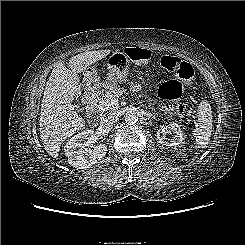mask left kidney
Wrapping results in <instances>:
<instances>
[{
	"mask_svg": "<svg viewBox=\"0 0 245 245\" xmlns=\"http://www.w3.org/2000/svg\"><path fill=\"white\" fill-rule=\"evenodd\" d=\"M174 134L171 139L166 138V134ZM157 140L165 148H170L173 146H179L183 143V134L180 126L173 122L168 126H162L157 131Z\"/></svg>",
	"mask_w": 245,
	"mask_h": 245,
	"instance_id": "1",
	"label": "left kidney"
}]
</instances>
